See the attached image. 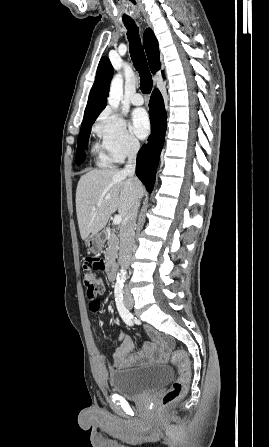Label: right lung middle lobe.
<instances>
[{
	"instance_id": "1",
	"label": "right lung middle lobe",
	"mask_w": 269,
	"mask_h": 447,
	"mask_svg": "<svg viewBox=\"0 0 269 447\" xmlns=\"http://www.w3.org/2000/svg\"><path fill=\"white\" fill-rule=\"evenodd\" d=\"M93 123L86 124L81 127V131H80L79 137H78L77 151H76V157H75V162L78 165L81 162H83L86 158L84 149L87 147L89 135H90V131H91V126Z\"/></svg>"
}]
</instances>
